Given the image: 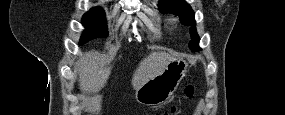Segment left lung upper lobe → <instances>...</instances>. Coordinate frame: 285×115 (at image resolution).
<instances>
[{"mask_svg": "<svg viewBox=\"0 0 285 115\" xmlns=\"http://www.w3.org/2000/svg\"><path fill=\"white\" fill-rule=\"evenodd\" d=\"M158 7L163 13L178 14L183 25H191L190 34L192 41H190L189 47L192 51L199 50L198 44L200 38L196 32V23L192 8L184 0H160Z\"/></svg>", "mask_w": 285, "mask_h": 115, "instance_id": "1", "label": "left lung upper lobe"}]
</instances>
